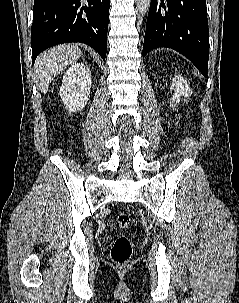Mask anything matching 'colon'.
Returning a JSON list of instances; mask_svg holds the SVG:
<instances>
[{
    "label": "colon",
    "mask_w": 239,
    "mask_h": 303,
    "mask_svg": "<svg viewBox=\"0 0 239 303\" xmlns=\"http://www.w3.org/2000/svg\"><path fill=\"white\" fill-rule=\"evenodd\" d=\"M117 224L121 229H126L130 225L129 216L120 212L117 215ZM133 248L131 240L126 235H119L111 248V259L112 261L119 266L126 265L132 256Z\"/></svg>",
    "instance_id": "5ec220e1"
}]
</instances>
